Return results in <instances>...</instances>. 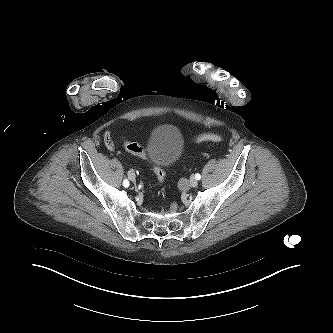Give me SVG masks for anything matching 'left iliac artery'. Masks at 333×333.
I'll use <instances>...</instances> for the list:
<instances>
[{
	"label": "left iliac artery",
	"instance_id": "obj_1",
	"mask_svg": "<svg viewBox=\"0 0 333 333\" xmlns=\"http://www.w3.org/2000/svg\"><path fill=\"white\" fill-rule=\"evenodd\" d=\"M195 178H196L197 180H200V179H201V175H200L199 173H196V174H195Z\"/></svg>",
	"mask_w": 333,
	"mask_h": 333
}]
</instances>
